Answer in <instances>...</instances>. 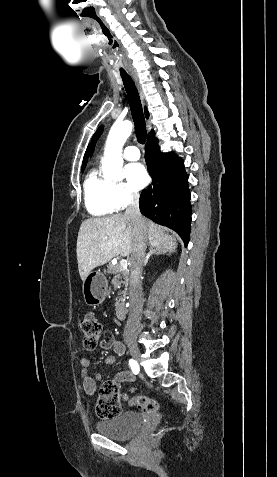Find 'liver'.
<instances>
[{"label":"liver","instance_id":"1","mask_svg":"<svg viewBox=\"0 0 277 477\" xmlns=\"http://www.w3.org/2000/svg\"><path fill=\"white\" fill-rule=\"evenodd\" d=\"M146 236L151 247L165 252H174L176 239L164 233V229L154 222L144 219ZM133 250L131 220L125 214H115L102 218H89L82 222L77 237V262L82 280L96 267L112 258L129 256Z\"/></svg>","mask_w":277,"mask_h":477}]
</instances>
